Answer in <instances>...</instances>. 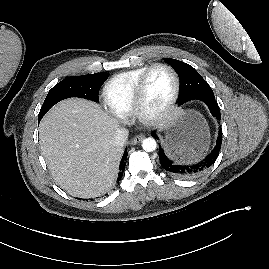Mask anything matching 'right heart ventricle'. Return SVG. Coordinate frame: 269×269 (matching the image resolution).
I'll list each match as a JSON object with an SVG mask.
<instances>
[{
	"label": "right heart ventricle",
	"instance_id": "e07e8e85",
	"mask_svg": "<svg viewBox=\"0 0 269 269\" xmlns=\"http://www.w3.org/2000/svg\"><path fill=\"white\" fill-rule=\"evenodd\" d=\"M148 66L138 67L114 75L104 86L103 97L108 108L120 117L133 112L136 85Z\"/></svg>",
	"mask_w": 269,
	"mask_h": 269
}]
</instances>
